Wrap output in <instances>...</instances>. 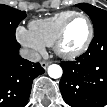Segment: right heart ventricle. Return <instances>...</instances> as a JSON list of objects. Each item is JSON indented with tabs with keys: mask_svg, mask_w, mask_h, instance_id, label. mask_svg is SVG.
Here are the masks:
<instances>
[{
	"mask_svg": "<svg viewBox=\"0 0 107 107\" xmlns=\"http://www.w3.org/2000/svg\"><path fill=\"white\" fill-rule=\"evenodd\" d=\"M75 13L61 11L47 18L33 20L29 24L30 31L44 46H53L62 25Z\"/></svg>",
	"mask_w": 107,
	"mask_h": 107,
	"instance_id": "e07e8e85",
	"label": "right heart ventricle"
}]
</instances>
